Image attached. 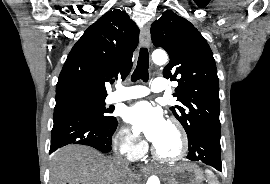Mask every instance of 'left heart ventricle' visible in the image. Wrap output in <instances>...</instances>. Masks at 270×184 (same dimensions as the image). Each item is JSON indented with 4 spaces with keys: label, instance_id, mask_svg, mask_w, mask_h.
<instances>
[{
    "label": "left heart ventricle",
    "instance_id": "left-heart-ventricle-1",
    "mask_svg": "<svg viewBox=\"0 0 270 184\" xmlns=\"http://www.w3.org/2000/svg\"><path fill=\"white\" fill-rule=\"evenodd\" d=\"M155 146L159 152L165 156H173L178 153L180 149L179 136L170 124H168L163 137Z\"/></svg>",
    "mask_w": 270,
    "mask_h": 184
}]
</instances>
